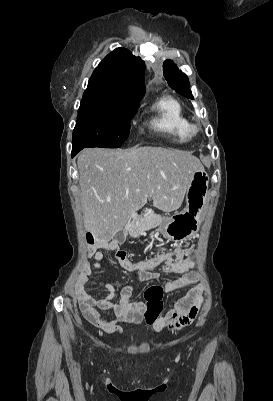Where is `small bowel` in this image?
Segmentation results:
<instances>
[{
  "label": "small bowel",
  "instance_id": "small-bowel-1",
  "mask_svg": "<svg viewBox=\"0 0 273 401\" xmlns=\"http://www.w3.org/2000/svg\"><path fill=\"white\" fill-rule=\"evenodd\" d=\"M94 246L93 261L85 264L83 268V271H89L90 274L101 271L104 253L111 251L114 252L119 267L130 273L133 281H159L167 293L184 289L198 280L197 273L191 270L193 249L177 246L171 252L135 262L129 259L126 250L118 248L117 241H104ZM158 268L165 273L179 274L180 277L176 280H165L157 271ZM133 281L126 283L119 291L111 283H101L107 292L104 297L95 296L94 290H82L77 301L84 317L105 333L115 335L122 332L120 323H143L146 303L131 300L134 292ZM203 301L204 286L197 283L175 303L173 309L152 325V332H175L189 325L197 316ZM100 312L111 313L114 318L106 319Z\"/></svg>",
  "mask_w": 273,
  "mask_h": 401
}]
</instances>
